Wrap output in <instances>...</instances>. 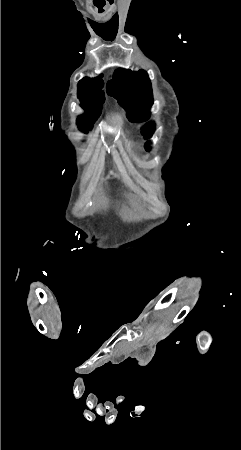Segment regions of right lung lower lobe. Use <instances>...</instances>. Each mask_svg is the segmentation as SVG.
Listing matches in <instances>:
<instances>
[{"instance_id":"1","label":"right lung lower lobe","mask_w":241,"mask_h":450,"mask_svg":"<svg viewBox=\"0 0 241 450\" xmlns=\"http://www.w3.org/2000/svg\"><path fill=\"white\" fill-rule=\"evenodd\" d=\"M92 116L91 115H85L82 117V119L79 122V127L84 130L85 132H87L88 130L91 129L92 126Z\"/></svg>"}]
</instances>
